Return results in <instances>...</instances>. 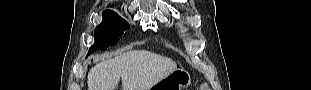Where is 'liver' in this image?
<instances>
[{"label": "liver", "instance_id": "obj_1", "mask_svg": "<svg viewBox=\"0 0 311 90\" xmlns=\"http://www.w3.org/2000/svg\"><path fill=\"white\" fill-rule=\"evenodd\" d=\"M176 68V62L168 57L131 50L91 68L88 90H115L120 78L123 90H150Z\"/></svg>", "mask_w": 311, "mask_h": 90}]
</instances>
